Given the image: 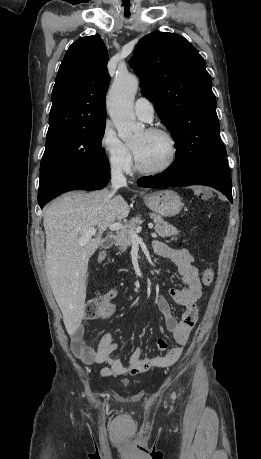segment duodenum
I'll use <instances>...</instances> for the list:
<instances>
[{
  "label": "duodenum",
  "mask_w": 261,
  "mask_h": 459,
  "mask_svg": "<svg viewBox=\"0 0 261 459\" xmlns=\"http://www.w3.org/2000/svg\"><path fill=\"white\" fill-rule=\"evenodd\" d=\"M115 239L116 237L114 234L107 235L102 241V247L105 249L111 247L114 244Z\"/></svg>",
  "instance_id": "duodenum-1"
}]
</instances>
